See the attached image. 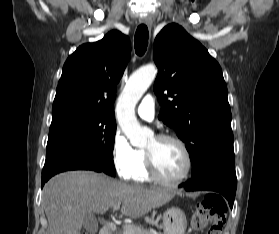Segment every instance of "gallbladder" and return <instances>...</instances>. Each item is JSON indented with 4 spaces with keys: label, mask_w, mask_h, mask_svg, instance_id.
I'll return each mask as SVG.
<instances>
[{
    "label": "gallbladder",
    "mask_w": 279,
    "mask_h": 234,
    "mask_svg": "<svg viewBox=\"0 0 279 234\" xmlns=\"http://www.w3.org/2000/svg\"><path fill=\"white\" fill-rule=\"evenodd\" d=\"M84 227L87 231L94 234L98 230V222L93 214H87L84 217Z\"/></svg>",
    "instance_id": "obj_1"
}]
</instances>
